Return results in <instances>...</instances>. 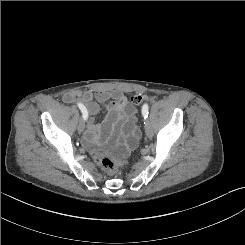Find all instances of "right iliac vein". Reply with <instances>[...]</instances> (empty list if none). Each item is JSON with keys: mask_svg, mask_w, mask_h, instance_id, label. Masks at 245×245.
<instances>
[{"mask_svg": "<svg viewBox=\"0 0 245 245\" xmlns=\"http://www.w3.org/2000/svg\"><path fill=\"white\" fill-rule=\"evenodd\" d=\"M85 129V121L84 119H80L79 124H78V131L82 133Z\"/></svg>", "mask_w": 245, "mask_h": 245, "instance_id": "obj_1", "label": "right iliac vein"}]
</instances>
